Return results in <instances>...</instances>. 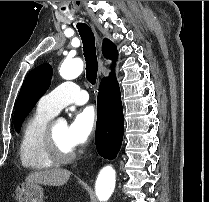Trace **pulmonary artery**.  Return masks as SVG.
Listing matches in <instances>:
<instances>
[{
  "mask_svg": "<svg viewBox=\"0 0 209 202\" xmlns=\"http://www.w3.org/2000/svg\"><path fill=\"white\" fill-rule=\"evenodd\" d=\"M88 93L76 82L68 80L60 83L39 100V107L56 115L62 108L70 104L81 105L88 101Z\"/></svg>",
  "mask_w": 209,
  "mask_h": 202,
  "instance_id": "e3ab8cb5",
  "label": "pulmonary artery"
}]
</instances>
